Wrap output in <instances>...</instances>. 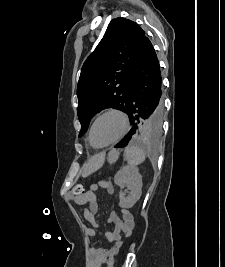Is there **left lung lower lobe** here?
Here are the masks:
<instances>
[{
  "label": "left lung lower lobe",
  "mask_w": 225,
  "mask_h": 267,
  "mask_svg": "<svg viewBox=\"0 0 225 267\" xmlns=\"http://www.w3.org/2000/svg\"><path fill=\"white\" fill-rule=\"evenodd\" d=\"M127 114L132 124L130 132L115 147L127 146L141 120L151 118L152 123L161 126L163 119L162 81L155 50L146 38L131 86Z\"/></svg>",
  "instance_id": "obj_1"
}]
</instances>
